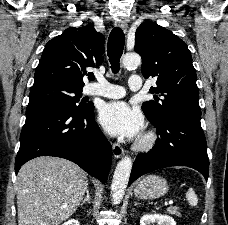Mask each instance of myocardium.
Listing matches in <instances>:
<instances>
[{
  "mask_svg": "<svg viewBox=\"0 0 228 225\" xmlns=\"http://www.w3.org/2000/svg\"><path fill=\"white\" fill-rule=\"evenodd\" d=\"M156 143V137L154 133L148 132L143 135L135 144V148L139 150H149Z\"/></svg>",
  "mask_w": 228,
  "mask_h": 225,
  "instance_id": "1",
  "label": "myocardium"
}]
</instances>
